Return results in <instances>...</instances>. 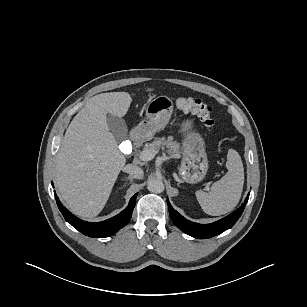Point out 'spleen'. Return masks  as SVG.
<instances>
[{"label": "spleen", "mask_w": 307, "mask_h": 307, "mask_svg": "<svg viewBox=\"0 0 307 307\" xmlns=\"http://www.w3.org/2000/svg\"><path fill=\"white\" fill-rule=\"evenodd\" d=\"M226 167L228 172L213 183L210 191H196L197 200L203 211L212 216L226 214L238 204L244 184V168L239 153L229 149Z\"/></svg>", "instance_id": "3e777b00"}]
</instances>
